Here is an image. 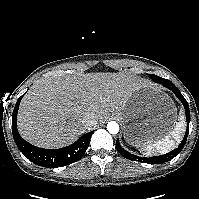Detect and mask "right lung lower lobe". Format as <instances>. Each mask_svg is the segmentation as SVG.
Segmentation results:
<instances>
[{"label": "right lung lower lobe", "instance_id": "98d812e1", "mask_svg": "<svg viewBox=\"0 0 199 199\" xmlns=\"http://www.w3.org/2000/svg\"><path fill=\"white\" fill-rule=\"evenodd\" d=\"M20 100L21 98L18 99L12 114V132L15 143L24 156L39 166L57 168L76 162L84 155L93 131L83 135L70 146L61 149H42L22 139L16 125Z\"/></svg>", "mask_w": 199, "mask_h": 199}]
</instances>
